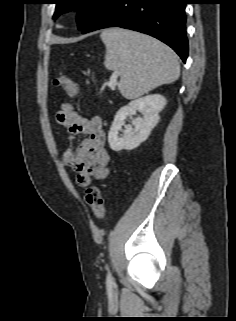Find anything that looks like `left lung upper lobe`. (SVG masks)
<instances>
[{
  "label": "left lung upper lobe",
  "instance_id": "left-lung-upper-lobe-1",
  "mask_svg": "<svg viewBox=\"0 0 236 321\" xmlns=\"http://www.w3.org/2000/svg\"><path fill=\"white\" fill-rule=\"evenodd\" d=\"M109 0H55L57 6L53 18L56 19L65 11L77 8L78 28L83 30L88 23L98 14Z\"/></svg>",
  "mask_w": 236,
  "mask_h": 321
}]
</instances>
